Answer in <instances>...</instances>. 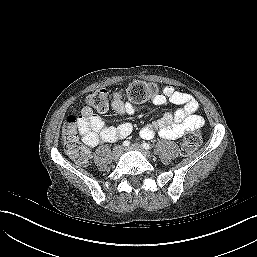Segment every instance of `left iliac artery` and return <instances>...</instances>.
<instances>
[{"label":"left iliac artery","mask_w":257,"mask_h":257,"mask_svg":"<svg viewBox=\"0 0 257 257\" xmlns=\"http://www.w3.org/2000/svg\"><path fill=\"white\" fill-rule=\"evenodd\" d=\"M142 146L145 149H151V146L149 144H147V143H143Z\"/></svg>","instance_id":"1"}]
</instances>
